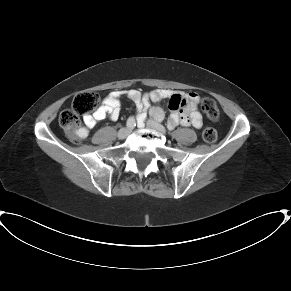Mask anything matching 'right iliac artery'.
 I'll return each mask as SVG.
<instances>
[{"label": "right iliac artery", "instance_id": "right-iliac-artery-1", "mask_svg": "<svg viewBox=\"0 0 291 291\" xmlns=\"http://www.w3.org/2000/svg\"><path fill=\"white\" fill-rule=\"evenodd\" d=\"M126 126L128 129H133L136 126V121L134 117H129L127 120Z\"/></svg>", "mask_w": 291, "mask_h": 291}]
</instances>
